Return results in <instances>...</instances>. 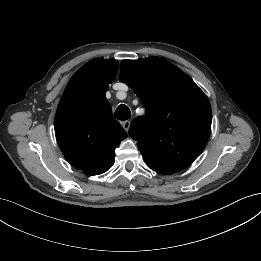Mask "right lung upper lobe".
Returning <instances> with one entry per match:
<instances>
[{
	"label": "right lung upper lobe",
	"instance_id": "cb5924a9",
	"mask_svg": "<svg viewBox=\"0 0 261 261\" xmlns=\"http://www.w3.org/2000/svg\"><path fill=\"white\" fill-rule=\"evenodd\" d=\"M119 62L96 58L70 79L55 116V134L66 160L89 175L110 169L115 148L127 137L112 117L105 93L116 78Z\"/></svg>",
	"mask_w": 261,
	"mask_h": 261
}]
</instances>
